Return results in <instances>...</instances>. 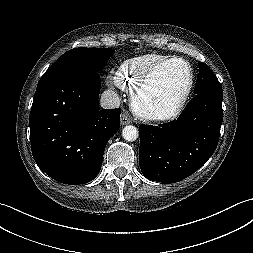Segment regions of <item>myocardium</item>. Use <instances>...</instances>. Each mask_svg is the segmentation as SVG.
Instances as JSON below:
<instances>
[{
    "instance_id": "1",
    "label": "myocardium",
    "mask_w": 253,
    "mask_h": 253,
    "mask_svg": "<svg viewBox=\"0 0 253 253\" xmlns=\"http://www.w3.org/2000/svg\"><path fill=\"white\" fill-rule=\"evenodd\" d=\"M178 61L185 64L189 69V81L188 85L183 92V94L178 98L175 105L171 110L168 112H157L150 108H148L142 101L143 94L151 81L152 77L155 75V73L164 67L165 65ZM194 80H195V73L194 68L192 64L186 60L183 57H169L165 60H162L156 64H154L152 67H150L147 72L143 75L141 80L139 81L138 85L136 86L135 90L132 93L131 96V105L134 113L139 116L140 118L152 121V122H164V121H170L178 117L181 112L183 111L186 102L192 92L193 86H194Z\"/></svg>"
}]
</instances>
